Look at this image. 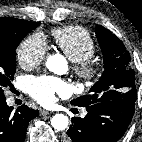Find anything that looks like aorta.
Wrapping results in <instances>:
<instances>
[{
    "label": "aorta",
    "instance_id": "1",
    "mask_svg": "<svg viewBox=\"0 0 142 142\" xmlns=\"http://www.w3.org/2000/svg\"><path fill=\"white\" fill-rule=\"evenodd\" d=\"M46 67L58 75L64 74L68 68L65 58L59 54L49 56ZM51 125L57 131L65 130L68 126V118L63 114H56L51 119Z\"/></svg>",
    "mask_w": 142,
    "mask_h": 142
}]
</instances>
